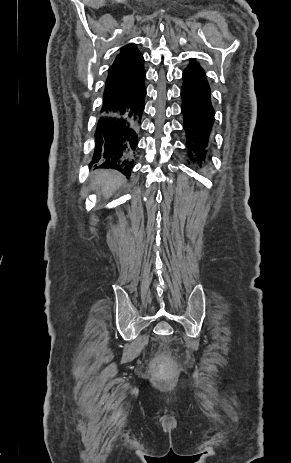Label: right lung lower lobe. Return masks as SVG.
Returning <instances> with one entry per match:
<instances>
[{"mask_svg":"<svg viewBox=\"0 0 291 463\" xmlns=\"http://www.w3.org/2000/svg\"><path fill=\"white\" fill-rule=\"evenodd\" d=\"M145 77L144 72L126 98L101 114L94 134L92 163L96 168H112L130 176L144 110Z\"/></svg>","mask_w":291,"mask_h":463,"instance_id":"obj_1","label":"right lung lower lobe"}]
</instances>
